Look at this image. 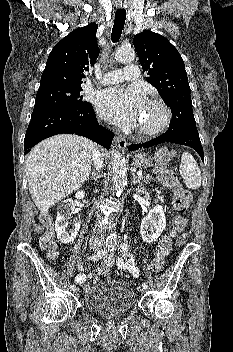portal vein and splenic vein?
I'll use <instances>...</instances> for the list:
<instances>
[{
    "label": "portal vein and splenic vein",
    "instance_id": "portal-vein-and-splenic-vein-1",
    "mask_svg": "<svg viewBox=\"0 0 233 352\" xmlns=\"http://www.w3.org/2000/svg\"><path fill=\"white\" fill-rule=\"evenodd\" d=\"M137 176H138V177L143 176L142 172H137Z\"/></svg>",
    "mask_w": 233,
    "mask_h": 352
}]
</instances>
